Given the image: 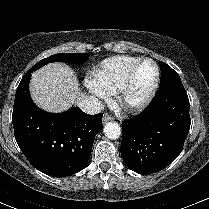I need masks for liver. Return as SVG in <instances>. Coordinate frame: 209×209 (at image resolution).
<instances>
[{"label": "liver", "instance_id": "liver-1", "mask_svg": "<svg viewBox=\"0 0 209 209\" xmlns=\"http://www.w3.org/2000/svg\"><path fill=\"white\" fill-rule=\"evenodd\" d=\"M30 93L40 108L54 113L66 111L86 97L79 90L75 72L62 63H50L35 71L30 81Z\"/></svg>", "mask_w": 209, "mask_h": 209}]
</instances>
